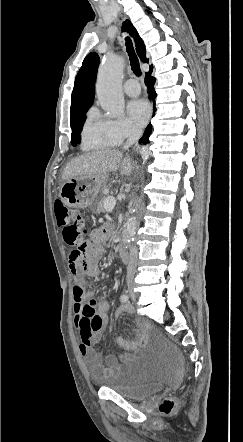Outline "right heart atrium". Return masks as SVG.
<instances>
[{
    "label": "right heart atrium",
    "mask_w": 243,
    "mask_h": 442,
    "mask_svg": "<svg viewBox=\"0 0 243 442\" xmlns=\"http://www.w3.org/2000/svg\"><path fill=\"white\" fill-rule=\"evenodd\" d=\"M107 130L118 142L135 138L139 131L126 119L106 120Z\"/></svg>",
    "instance_id": "obj_1"
}]
</instances>
